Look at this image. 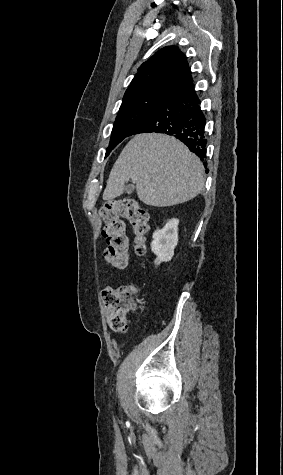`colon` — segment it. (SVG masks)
<instances>
[{"instance_id":"5ec220e1","label":"colon","mask_w":283,"mask_h":475,"mask_svg":"<svg viewBox=\"0 0 283 475\" xmlns=\"http://www.w3.org/2000/svg\"><path fill=\"white\" fill-rule=\"evenodd\" d=\"M100 216L104 222L103 232L107 239L103 257L114 270L122 271L129 263L128 240L123 219H127L130 223L136 253L146 254L150 230L148 214L133 198L105 203ZM136 293V285H114L107 291L100 292V297L105 298L108 305L106 321L113 331L129 330V317L135 312Z\"/></svg>"}]
</instances>
